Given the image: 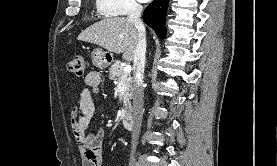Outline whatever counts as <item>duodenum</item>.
<instances>
[{
	"label": "duodenum",
	"instance_id": "410a0bca",
	"mask_svg": "<svg viewBox=\"0 0 277 166\" xmlns=\"http://www.w3.org/2000/svg\"><path fill=\"white\" fill-rule=\"evenodd\" d=\"M123 127L126 130H132L134 126V119L131 113H127L122 120Z\"/></svg>",
	"mask_w": 277,
	"mask_h": 166
}]
</instances>
